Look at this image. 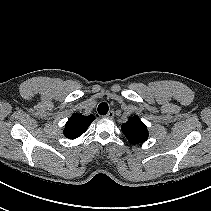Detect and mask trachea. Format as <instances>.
Listing matches in <instances>:
<instances>
[{
	"instance_id": "1",
	"label": "trachea",
	"mask_w": 211,
	"mask_h": 211,
	"mask_svg": "<svg viewBox=\"0 0 211 211\" xmlns=\"http://www.w3.org/2000/svg\"><path fill=\"white\" fill-rule=\"evenodd\" d=\"M108 110H109V107H108V104L107 103L102 102V103L99 104V106H98V113L100 115L107 114Z\"/></svg>"
}]
</instances>
